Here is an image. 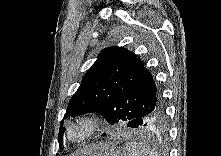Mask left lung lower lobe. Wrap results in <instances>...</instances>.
Masks as SVG:
<instances>
[{"mask_svg": "<svg viewBox=\"0 0 221 156\" xmlns=\"http://www.w3.org/2000/svg\"><path fill=\"white\" fill-rule=\"evenodd\" d=\"M126 126L146 130H166L167 119L163 98L153 110L150 109L148 112L126 122Z\"/></svg>", "mask_w": 221, "mask_h": 156, "instance_id": "1", "label": "left lung lower lobe"}]
</instances>
